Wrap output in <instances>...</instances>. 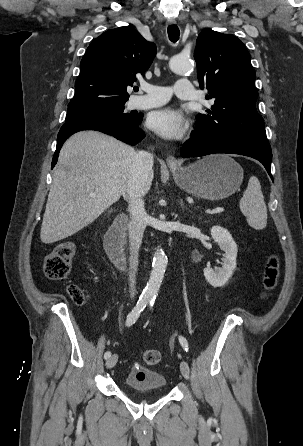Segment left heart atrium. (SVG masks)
Instances as JSON below:
<instances>
[{
  "mask_svg": "<svg viewBox=\"0 0 303 446\" xmlns=\"http://www.w3.org/2000/svg\"><path fill=\"white\" fill-rule=\"evenodd\" d=\"M147 122L153 131L167 139H179L187 129L186 118L178 109L173 107L152 112Z\"/></svg>",
  "mask_w": 303,
  "mask_h": 446,
  "instance_id": "left-heart-atrium-1",
  "label": "left heart atrium"
}]
</instances>
